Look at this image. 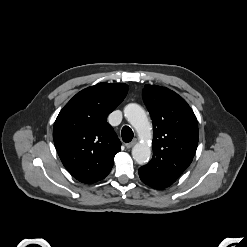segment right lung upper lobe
<instances>
[{"label": "right lung upper lobe", "instance_id": "cb5924a9", "mask_svg": "<svg viewBox=\"0 0 247 247\" xmlns=\"http://www.w3.org/2000/svg\"><path fill=\"white\" fill-rule=\"evenodd\" d=\"M127 91L126 84H96L77 93L57 116L53 128L56 150L80 182L95 183L111 171L121 142L106 119Z\"/></svg>", "mask_w": 247, "mask_h": 247}]
</instances>
